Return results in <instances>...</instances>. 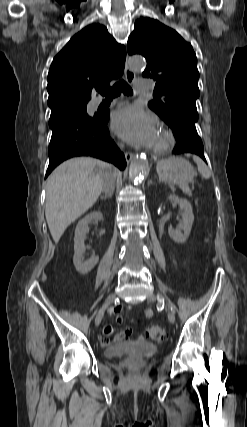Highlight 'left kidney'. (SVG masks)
<instances>
[{
    "instance_id": "5707ae66",
    "label": "left kidney",
    "mask_w": 247,
    "mask_h": 427,
    "mask_svg": "<svg viewBox=\"0 0 247 427\" xmlns=\"http://www.w3.org/2000/svg\"><path fill=\"white\" fill-rule=\"evenodd\" d=\"M168 199L178 204L182 211V222L179 224V227L177 229L169 227L168 233L173 241L183 244L188 239L194 222L192 206L187 200L179 198L176 195H170Z\"/></svg>"
}]
</instances>
